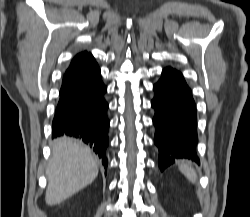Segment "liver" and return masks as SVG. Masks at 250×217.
Instances as JSON below:
<instances>
[{"instance_id": "1", "label": "liver", "mask_w": 250, "mask_h": 217, "mask_svg": "<svg viewBox=\"0 0 250 217\" xmlns=\"http://www.w3.org/2000/svg\"><path fill=\"white\" fill-rule=\"evenodd\" d=\"M46 175L45 200L53 206L92 183L98 175V163L87 146L69 138H60L52 144Z\"/></svg>"}]
</instances>
